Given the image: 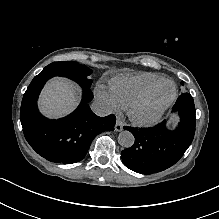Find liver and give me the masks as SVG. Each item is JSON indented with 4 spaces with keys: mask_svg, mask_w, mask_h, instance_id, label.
I'll return each mask as SVG.
<instances>
[{
    "mask_svg": "<svg viewBox=\"0 0 219 219\" xmlns=\"http://www.w3.org/2000/svg\"><path fill=\"white\" fill-rule=\"evenodd\" d=\"M79 89L64 77L54 76L41 89L36 106L48 120H58L73 113L79 104Z\"/></svg>",
    "mask_w": 219,
    "mask_h": 219,
    "instance_id": "1",
    "label": "liver"
}]
</instances>
